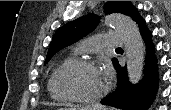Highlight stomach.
<instances>
[{"instance_id": "obj_1", "label": "stomach", "mask_w": 171, "mask_h": 110, "mask_svg": "<svg viewBox=\"0 0 171 110\" xmlns=\"http://www.w3.org/2000/svg\"><path fill=\"white\" fill-rule=\"evenodd\" d=\"M60 110H69V109H60ZM70 110H84V109H81V108H74V109H70ZM90 110H93V109H90Z\"/></svg>"}]
</instances>
